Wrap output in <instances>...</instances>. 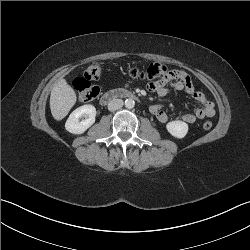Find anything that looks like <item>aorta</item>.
<instances>
[{"instance_id":"obj_1","label":"aorta","mask_w":250,"mask_h":250,"mask_svg":"<svg viewBox=\"0 0 250 250\" xmlns=\"http://www.w3.org/2000/svg\"><path fill=\"white\" fill-rule=\"evenodd\" d=\"M135 106V101L131 98L125 100V107L128 109H132Z\"/></svg>"}]
</instances>
